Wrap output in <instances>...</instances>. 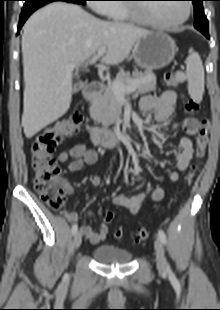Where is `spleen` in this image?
<instances>
[{"label":"spleen","instance_id":"1","mask_svg":"<svg viewBox=\"0 0 220 310\" xmlns=\"http://www.w3.org/2000/svg\"><path fill=\"white\" fill-rule=\"evenodd\" d=\"M186 76L191 98L200 102L204 93V68L200 56L193 49H190L186 60Z\"/></svg>","mask_w":220,"mask_h":310}]
</instances>
